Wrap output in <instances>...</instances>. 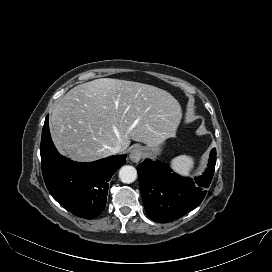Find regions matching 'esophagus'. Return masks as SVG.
Returning a JSON list of instances; mask_svg holds the SVG:
<instances>
[{"mask_svg": "<svg viewBox=\"0 0 272 272\" xmlns=\"http://www.w3.org/2000/svg\"><path fill=\"white\" fill-rule=\"evenodd\" d=\"M143 156V149L140 146H135L131 151L129 158L132 162L137 163Z\"/></svg>", "mask_w": 272, "mask_h": 272, "instance_id": "obj_1", "label": "esophagus"}]
</instances>
